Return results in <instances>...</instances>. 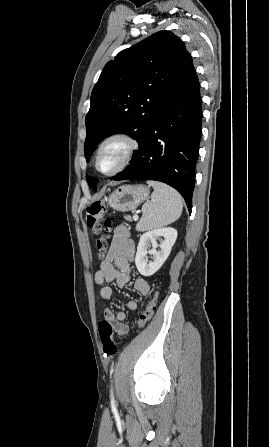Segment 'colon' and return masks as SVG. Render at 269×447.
I'll return each mask as SVG.
<instances>
[{
    "label": "colon",
    "instance_id": "obj_1",
    "mask_svg": "<svg viewBox=\"0 0 269 447\" xmlns=\"http://www.w3.org/2000/svg\"><path fill=\"white\" fill-rule=\"evenodd\" d=\"M106 210V203H94L90 205L85 212L87 226L99 235V238L96 241V246L101 251L106 249L110 239L111 221L105 217ZM157 301V292H154V295H152L151 299L147 302L148 309L145 315H139L138 320L133 321L130 327L137 330L140 326L148 325L149 320L152 319L150 314L155 311ZM97 328L104 353L107 356H115L118 353V345L114 340V328L112 324L107 320H100Z\"/></svg>",
    "mask_w": 269,
    "mask_h": 447
}]
</instances>
